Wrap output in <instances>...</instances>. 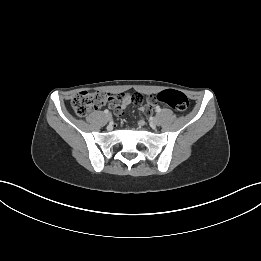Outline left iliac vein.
Returning <instances> with one entry per match:
<instances>
[{"instance_id": "4c4485c4", "label": "left iliac vein", "mask_w": 261, "mask_h": 261, "mask_svg": "<svg viewBox=\"0 0 261 261\" xmlns=\"http://www.w3.org/2000/svg\"><path fill=\"white\" fill-rule=\"evenodd\" d=\"M151 126H157L159 124V119L157 117H154L151 121H150Z\"/></svg>"}]
</instances>
